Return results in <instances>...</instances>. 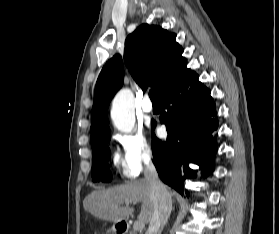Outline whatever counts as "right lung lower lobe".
Returning a JSON list of instances; mask_svg holds the SVG:
<instances>
[{"mask_svg":"<svg viewBox=\"0 0 279 234\" xmlns=\"http://www.w3.org/2000/svg\"><path fill=\"white\" fill-rule=\"evenodd\" d=\"M198 75L186 69L160 96V122L166 125L167 141L153 135L154 164L163 182L183 195L184 181L196 177L188 166L194 162L207 177L213 170L218 128L216 106ZM166 109V110H165ZM152 123V127H155ZM188 194L187 190H185Z\"/></svg>","mask_w":279,"mask_h":234,"instance_id":"98d812e1","label":"right lung lower lobe"}]
</instances>
